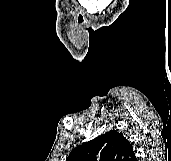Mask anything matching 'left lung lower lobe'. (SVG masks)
<instances>
[{
    "label": "left lung lower lobe",
    "instance_id": "left-lung-lower-lobe-1",
    "mask_svg": "<svg viewBox=\"0 0 171 161\" xmlns=\"http://www.w3.org/2000/svg\"><path fill=\"white\" fill-rule=\"evenodd\" d=\"M132 161H137L136 157H134V158L132 159Z\"/></svg>",
    "mask_w": 171,
    "mask_h": 161
}]
</instances>
